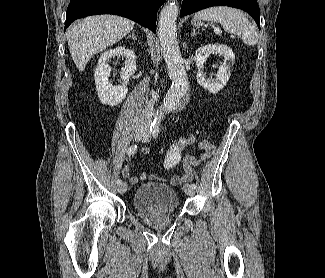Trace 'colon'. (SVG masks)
<instances>
[{"label": "colon", "mask_w": 325, "mask_h": 278, "mask_svg": "<svg viewBox=\"0 0 325 278\" xmlns=\"http://www.w3.org/2000/svg\"><path fill=\"white\" fill-rule=\"evenodd\" d=\"M181 147V144H174L168 149L163 162L165 169L170 170L178 165L181 160Z\"/></svg>", "instance_id": "5ec220e1"}]
</instances>
